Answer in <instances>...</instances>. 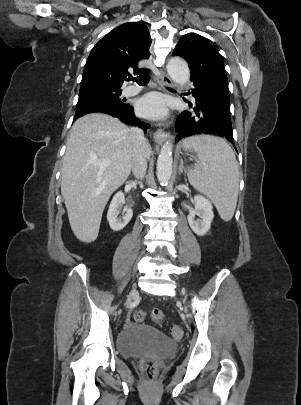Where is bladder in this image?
Instances as JSON below:
<instances>
[{
  "mask_svg": "<svg viewBox=\"0 0 301 405\" xmlns=\"http://www.w3.org/2000/svg\"><path fill=\"white\" fill-rule=\"evenodd\" d=\"M117 348L126 357L152 355L164 359L173 355L177 346L153 327L131 324L120 332L117 338Z\"/></svg>",
  "mask_w": 301,
  "mask_h": 405,
  "instance_id": "obj_1",
  "label": "bladder"
}]
</instances>
